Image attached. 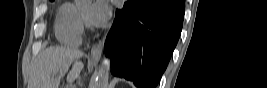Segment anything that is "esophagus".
Wrapping results in <instances>:
<instances>
[{
    "mask_svg": "<svg viewBox=\"0 0 267 88\" xmlns=\"http://www.w3.org/2000/svg\"><path fill=\"white\" fill-rule=\"evenodd\" d=\"M104 45V39H101L98 43L94 44L91 48L89 62L98 63L101 57L102 49Z\"/></svg>",
    "mask_w": 267,
    "mask_h": 88,
    "instance_id": "1",
    "label": "esophagus"
}]
</instances>
